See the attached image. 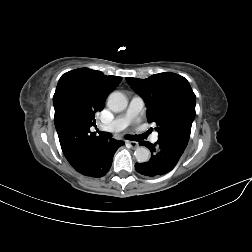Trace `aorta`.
<instances>
[{
    "mask_svg": "<svg viewBox=\"0 0 252 252\" xmlns=\"http://www.w3.org/2000/svg\"><path fill=\"white\" fill-rule=\"evenodd\" d=\"M108 107L114 112H121L126 109L128 100L121 92H113L108 97ZM138 162L144 163L149 161L151 153L146 147H138L134 152Z\"/></svg>",
    "mask_w": 252,
    "mask_h": 252,
    "instance_id": "762f6f07",
    "label": "aorta"
}]
</instances>
